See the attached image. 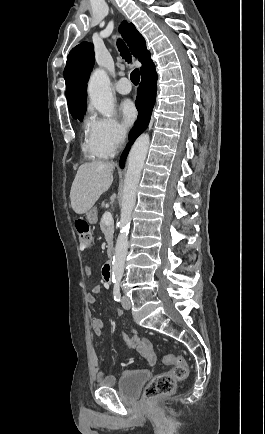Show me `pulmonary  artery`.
<instances>
[{
  "instance_id": "pulmonary-artery-1",
  "label": "pulmonary artery",
  "mask_w": 265,
  "mask_h": 434,
  "mask_svg": "<svg viewBox=\"0 0 265 434\" xmlns=\"http://www.w3.org/2000/svg\"><path fill=\"white\" fill-rule=\"evenodd\" d=\"M125 80H127V78L126 77H122L120 79V81H117V84H116V90H117V92H119L120 94H123V95H126V94H128L131 91V89H130V87H131L130 81H125Z\"/></svg>"
}]
</instances>
